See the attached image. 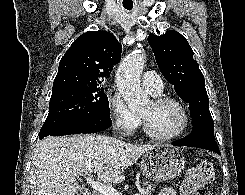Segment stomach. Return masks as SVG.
Here are the masks:
<instances>
[{"label": "stomach", "instance_id": "0dacf381", "mask_svg": "<svg viewBox=\"0 0 245 195\" xmlns=\"http://www.w3.org/2000/svg\"><path fill=\"white\" fill-rule=\"evenodd\" d=\"M184 165L185 157L180 149L159 145L144 153L140 167L147 179L163 182L179 176Z\"/></svg>", "mask_w": 245, "mask_h": 195}]
</instances>
